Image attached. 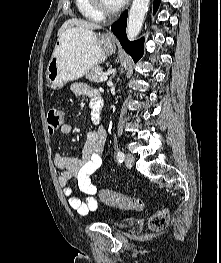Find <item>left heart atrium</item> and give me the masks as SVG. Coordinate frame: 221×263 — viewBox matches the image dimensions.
<instances>
[{"label":"left heart atrium","mask_w":221,"mask_h":263,"mask_svg":"<svg viewBox=\"0 0 221 263\" xmlns=\"http://www.w3.org/2000/svg\"><path fill=\"white\" fill-rule=\"evenodd\" d=\"M120 3H123L125 0H118Z\"/></svg>","instance_id":"39dd6f15"}]
</instances>
